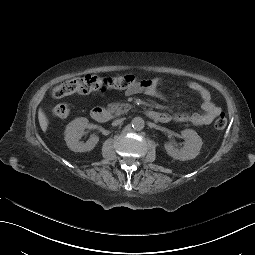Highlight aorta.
<instances>
[{
  "label": "aorta",
  "mask_w": 255,
  "mask_h": 255,
  "mask_svg": "<svg viewBox=\"0 0 255 255\" xmlns=\"http://www.w3.org/2000/svg\"><path fill=\"white\" fill-rule=\"evenodd\" d=\"M131 123H132V127L135 130H142L145 125V122H144L143 118H141V117L133 118Z\"/></svg>",
  "instance_id": "1"
}]
</instances>
